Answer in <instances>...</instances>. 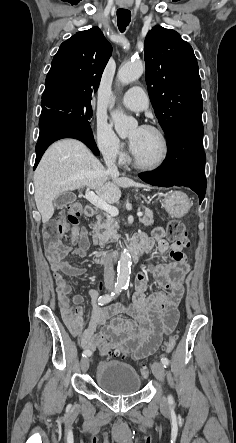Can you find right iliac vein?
Masks as SVG:
<instances>
[{
	"instance_id": "1",
	"label": "right iliac vein",
	"mask_w": 236,
	"mask_h": 443,
	"mask_svg": "<svg viewBox=\"0 0 236 443\" xmlns=\"http://www.w3.org/2000/svg\"><path fill=\"white\" fill-rule=\"evenodd\" d=\"M80 364H81V369H82V371H83V372H86V371L88 370V368H89V359H88V357H87V356H86V357H83V358L81 359Z\"/></svg>"
}]
</instances>
